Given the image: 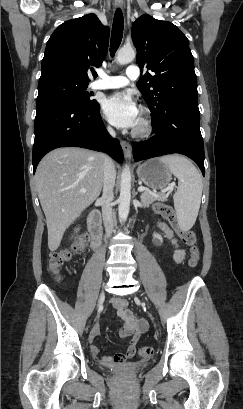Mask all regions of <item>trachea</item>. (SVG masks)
<instances>
[{"label":"trachea","mask_w":243,"mask_h":409,"mask_svg":"<svg viewBox=\"0 0 243 409\" xmlns=\"http://www.w3.org/2000/svg\"><path fill=\"white\" fill-rule=\"evenodd\" d=\"M123 27H124L123 14L120 9H117L114 15L112 33H111V41H110L111 57L115 56V53L120 46V43L123 37Z\"/></svg>","instance_id":"obj_1"}]
</instances>
